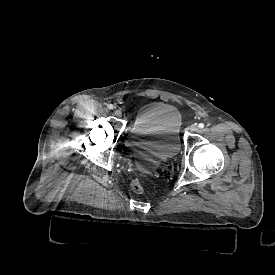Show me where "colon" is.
Here are the masks:
<instances>
[{
	"label": "colon",
	"mask_w": 275,
	"mask_h": 275,
	"mask_svg": "<svg viewBox=\"0 0 275 275\" xmlns=\"http://www.w3.org/2000/svg\"><path fill=\"white\" fill-rule=\"evenodd\" d=\"M130 189L133 193L142 194L144 192V185L140 179H134L130 183Z\"/></svg>",
	"instance_id": "colon-1"
}]
</instances>
